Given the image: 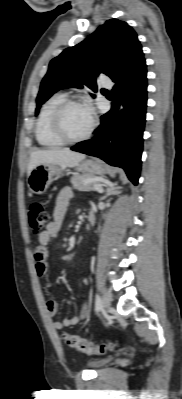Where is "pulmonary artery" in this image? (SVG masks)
Listing matches in <instances>:
<instances>
[{"instance_id": "e3ab8cb5", "label": "pulmonary artery", "mask_w": 182, "mask_h": 399, "mask_svg": "<svg viewBox=\"0 0 182 399\" xmlns=\"http://www.w3.org/2000/svg\"><path fill=\"white\" fill-rule=\"evenodd\" d=\"M102 85L106 88H111L113 86V82L110 79H105L102 81Z\"/></svg>"}]
</instances>
